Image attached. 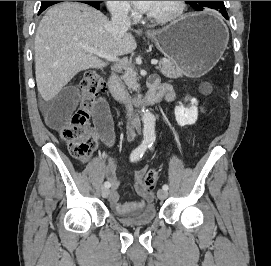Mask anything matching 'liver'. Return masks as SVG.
<instances>
[{"mask_svg": "<svg viewBox=\"0 0 271 266\" xmlns=\"http://www.w3.org/2000/svg\"><path fill=\"white\" fill-rule=\"evenodd\" d=\"M83 45L116 57L133 52L137 44L130 33L116 42L107 17L81 3L64 2L50 8L35 37V75L38 92L52 100L80 71L106 65Z\"/></svg>", "mask_w": 271, "mask_h": 266, "instance_id": "liver-1", "label": "liver"}]
</instances>
